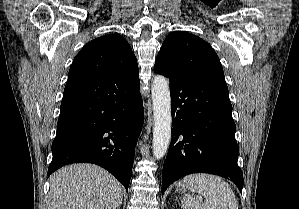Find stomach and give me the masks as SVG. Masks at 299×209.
Returning a JSON list of instances; mask_svg holds the SVG:
<instances>
[{
	"instance_id": "1",
	"label": "stomach",
	"mask_w": 299,
	"mask_h": 209,
	"mask_svg": "<svg viewBox=\"0 0 299 209\" xmlns=\"http://www.w3.org/2000/svg\"><path fill=\"white\" fill-rule=\"evenodd\" d=\"M176 190L179 192L185 193L187 189L183 186V184L181 182H179L176 185Z\"/></svg>"
}]
</instances>
